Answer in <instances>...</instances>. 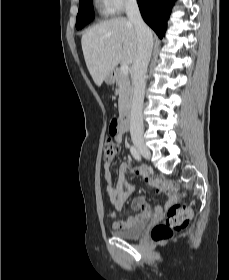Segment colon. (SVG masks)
I'll return each instance as SVG.
<instances>
[{"instance_id": "5ec220e1", "label": "colon", "mask_w": 229, "mask_h": 280, "mask_svg": "<svg viewBox=\"0 0 229 280\" xmlns=\"http://www.w3.org/2000/svg\"><path fill=\"white\" fill-rule=\"evenodd\" d=\"M118 127V122L113 120L110 127V136L106 140L104 145V160L106 163H111L115 158L119 145L113 139V135ZM155 186H162L163 182L160 178H157L154 183ZM172 191H176V184L174 182L169 184ZM191 211L187 206L183 205H172L167 211L164 221L154 226L150 232V238L156 243H163L169 240L173 234L185 228L190 221Z\"/></svg>"}]
</instances>
